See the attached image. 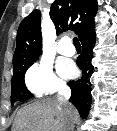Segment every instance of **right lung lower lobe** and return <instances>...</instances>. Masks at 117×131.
<instances>
[{"label":"right lung lower lobe","instance_id":"right-lung-lower-lobe-1","mask_svg":"<svg viewBox=\"0 0 117 131\" xmlns=\"http://www.w3.org/2000/svg\"><path fill=\"white\" fill-rule=\"evenodd\" d=\"M95 32L83 37L82 54L77 58V65L82 70V77L77 81H70L72 95L70 102L78 109L82 118H86L91 106V83L90 76L93 71L91 59L93 57V48L95 45Z\"/></svg>","mask_w":117,"mask_h":131}]
</instances>
